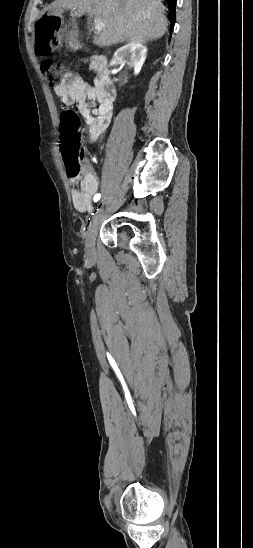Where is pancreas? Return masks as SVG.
Masks as SVG:
<instances>
[{
    "label": "pancreas",
    "mask_w": 253,
    "mask_h": 548,
    "mask_svg": "<svg viewBox=\"0 0 253 548\" xmlns=\"http://www.w3.org/2000/svg\"><path fill=\"white\" fill-rule=\"evenodd\" d=\"M90 68H91V69H94V65L92 64V65L90 66Z\"/></svg>",
    "instance_id": "cf45deb5"
}]
</instances>
